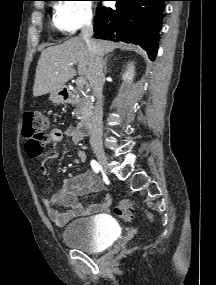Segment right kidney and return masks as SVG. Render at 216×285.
Listing matches in <instances>:
<instances>
[{"mask_svg": "<svg viewBox=\"0 0 216 285\" xmlns=\"http://www.w3.org/2000/svg\"><path fill=\"white\" fill-rule=\"evenodd\" d=\"M134 65L133 62L129 63L127 66V71L122 75V79L126 82H128L129 84L133 81L134 79Z\"/></svg>", "mask_w": 216, "mask_h": 285, "instance_id": "1", "label": "right kidney"}]
</instances>
